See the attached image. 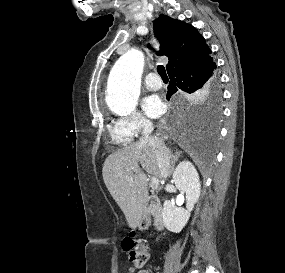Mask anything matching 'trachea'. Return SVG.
<instances>
[{"label": "trachea", "instance_id": "obj_1", "mask_svg": "<svg viewBox=\"0 0 285 273\" xmlns=\"http://www.w3.org/2000/svg\"><path fill=\"white\" fill-rule=\"evenodd\" d=\"M157 72L161 76L162 79H168L165 67L163 65L157 66Z\"/></svg>", "mask_w": 285, "mask_h": 273}]
</instances>
